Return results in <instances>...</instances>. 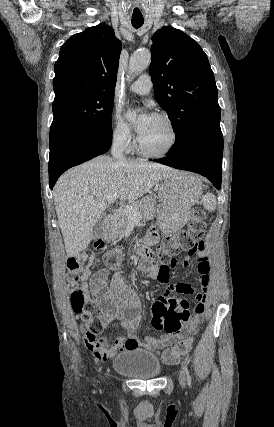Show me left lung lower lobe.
I'll use <instances>...</instances> for the list:
<instances>
[{
  "mask_svg": "<svg viewBox=\"0 0 274 427\" xmlns=\"http://www.w3.org/2000/svg\"><path fill=\"white\" fill-rule=\"evenodd\" d=\"M222 156L223 136L221 129H207L197 133L183 147L170 149L167 157L155 161L174 168L199 173L220 189Z\"/></svg>",
  "mask_w": 274,
  "mask_h": 427,
  "instance_id": "1",
  "label": "left lung lower lobe"
}]
</instances>
